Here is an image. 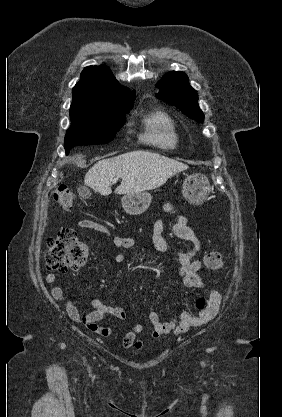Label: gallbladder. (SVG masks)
<instances>
[{
	"label": "gallbladder",
	"mask_w": 282,
	"mask_h": 417,
	"mask_svg": "<svg viewBox=\"0 0 282 417\" xmlns=\"http://www.w3.org/2000/svg\"><path fill=\"white\" fill-rule=\"evenodd\" d=\"M78 194L79 196H82V198H89V196H91V192L87 186H79Z\"/></svg>",
	"instance_id": "obj_1"
}]
</instances>
